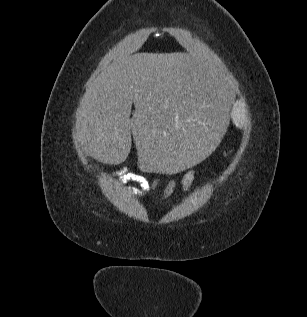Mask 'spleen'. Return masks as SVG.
Instances as JSON below:
<instances>
[{
    "label": "spleen",
    "instance_id": "3e777b00",
    "mask_svg": "<svg viewBox=\"0 0 307 317\" xmlns=\"http://www.w3.org/2000/svg\"><path fill=\"white\" fill-rule=\"evenodd\" d=\"M232 119L237 127L241 128L243 126L244 118L242 115H239L235 110L232 112Z\"/></svg>",
    "mask_w": 307,
    "mask_h": 317
}]
</instances>
